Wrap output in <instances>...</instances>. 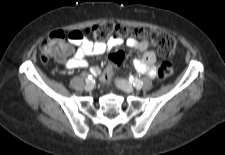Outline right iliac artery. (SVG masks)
Returning a JSON list of instances; mask_svg holds the SVG:
<instances>
[{"label": "right iliac artery", "mask_w": 225, "mask_h": 155, "mask_svg": "<svg viewBox=\"0 0 225 155\" xmlns=\"http://www.w3.org/2000/svg\"><path fill=\"white\" fill-rule=\"evenodd\" d=\"M91 81H92V76L89 75V76L85 79V82H86V83H89V82H91Z\"/></svg>", "instance_id": "1"}]
</instances>
